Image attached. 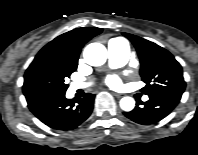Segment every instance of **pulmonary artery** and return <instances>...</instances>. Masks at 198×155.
Returning a JSON list of instances; mask_svg holds the SVG:
<instances>
[{
    "mask_svg": "<svg viewBox=\"0 0 198 155\" xmlns=\"http://www.w3.org/2000/svg\"><path fill=\"white\" fill-rule=\"evenodd\" d=\"M108 55L111 66H123L129 59L128 42L122 38L111 39L108 43ZM87 86H89V83L74 82L70 85V90L74 92L77 89L85 88ZM147 99V96L143 97L144 101H146Z\"/></svg>",
    "mask_w": 198,
    "mask_h": 155,
    "instance_id": "obj_1",
    "label": "pulmonary artery"
}]
</instances>
